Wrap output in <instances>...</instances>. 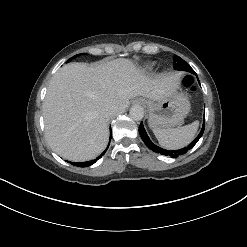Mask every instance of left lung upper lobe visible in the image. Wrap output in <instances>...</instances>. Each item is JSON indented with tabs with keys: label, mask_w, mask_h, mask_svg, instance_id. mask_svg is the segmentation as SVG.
I'll return each instance as SVG.
<instances>
[{
	"label": "left lung upper lobe",
	"mask_w": 247,
	"mask_h": 247,
	"mask_svg": "<svg viewBox=\"0 0 247 247\" xmlns=\"http://www.w3.org/2000/svg\"><path fill=\"white\" fill-rule=\"evenodd\" d=\"M174 68L176 70H184L195 74V71L190 67V65L179 56L174 57Z\"/></svg>",
	"instance_id": "obj_1"
}]
</instances>
